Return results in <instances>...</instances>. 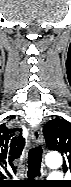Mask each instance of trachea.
Masks as SVG:
<instances>
[{"label": "trachea", "mask_w": 71, "mask_h": 187, "mask_svg": "<svg viewBox=\"0 0 71 187\" xmlns=\"http://www.w3.org/2000/svg\"><path fill=\"white\" fill-rule=\"evenodd\" d=\"M42 160V148L40 146L30 149L28 153V176L35 177L40 175Z\"/></svg>", "instance_id": "obj_1"}]
</instances>
